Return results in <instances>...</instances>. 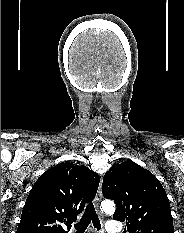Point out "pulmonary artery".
<instances>
[{
    "label": "pulmonary artery",
    "instance_id": "pulmonary-artery-1",
    "mask_svg": "<svg viewBox=\"0 0 184 233\" xmlns=\"http://www.w3.org/2000/svg\"><path fill=\"white\" fill-rule=\"evenodd\" d=\"M122 231L121 225L117 221H108L105 225L106 233H120Z\"/></svg>",
    "mask_w": 184,
    "mask_h": 233
}]
</instances>
